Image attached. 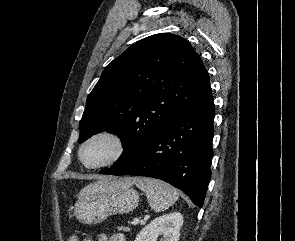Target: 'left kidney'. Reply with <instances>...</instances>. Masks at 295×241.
Returning a JSON list of instances; mask_svg holds the SVG:
<instances>
[{
	"instance_id": "5707ae66",
	"label": "left kidney",
	"mask_w": 295,
	"mask_h": 241,
	"mask_svg": "<svg viewBox=\"0 0 295 241\" xmlns=\"http://www.w3.org/2000/svg\"><path fill=\"white\" fill-rule=\"evenodd\" d=\"M183 225V216L181 213L174 212L165 214L152 220L137 235L135 241H178L180 228Z\"/></svg>"
}]
</instances>
